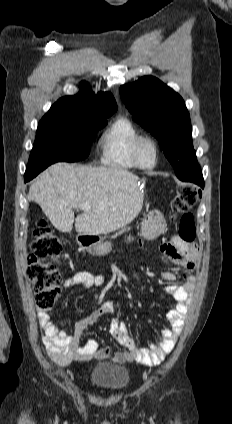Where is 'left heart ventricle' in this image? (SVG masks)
<instances>
[{"mask_svg":"<svg viewBox=\"0 0 232 424\" xmlns=\"http://www.w3.org/2000/svg\"><path fill=\"white\" fill-rule=\"evenodd\" d=\"M138 154L143 165H150L154 157V149L151 143L143 142L139 147Z\"/></svg>","mask_w":232,"mask_h":424,"instance_id":"left-heart-ventricle-1","label":"left heart ventricle"}]
</instances>
